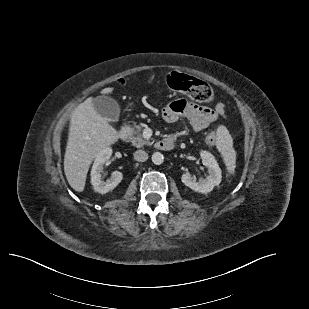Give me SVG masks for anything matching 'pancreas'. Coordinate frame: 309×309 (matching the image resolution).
<instances>
[{"label": "pancreas", "instance_id": "obj_1", "mask_svg": "<svg viewBox=\"0 0 309 309\" xmlns=\"http://www.w3.org/2000/svg\"><path fill=\"white\" fill-rule=\"evenodd\" d=\"M131 142L137 148L150 144V141L143 137L142 128L139 125L132 128Z\"/></svg>", "mask_w": 309, "mask_h": 309}]
</instances>
